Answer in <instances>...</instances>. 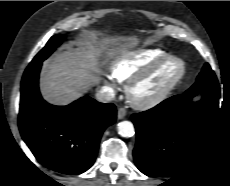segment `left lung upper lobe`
<instances>
[{"label": "left lung upper lobe", "mask_w": 230, "mask_h": 186, "mask_svg": "<svg viewBox=\"0 0 230 186\" xmlns=\"http://www.w3.org/2000/svg\"><path fill=\"white\" fill-rule=\"evenodd\" d=\"M218 81L217 78L209 66L208 63H206L197 77L196 83L187 91H195L199 89H204V88H218Z\"/></svg>", "instance_id": "5c2ea615"}]
</instances>
